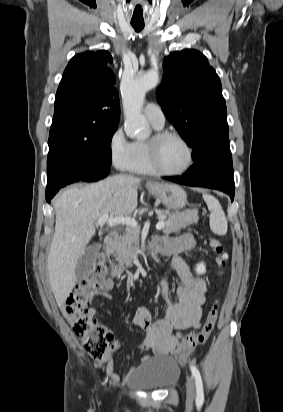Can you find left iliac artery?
Returning <instances> with one entry per match:
<instances>
[{"label": "left iliac artery", "mask_w": 283, "mask_h": 412, "mask_svg": "<svg viewBox=\"0 0 283 412\" xmlns=\"http://www.w3.org/2000/svg\"><path fill=\"white\" fill-rule=\"evenodd\" d=\"M190 369H191L192 375L195 379L197 400L198 401H203L204 400V391H203V383H202V378H201L200 372L194 365H191Z\"/></svg>", "instance_id": "obj_1"}]
</instances>
